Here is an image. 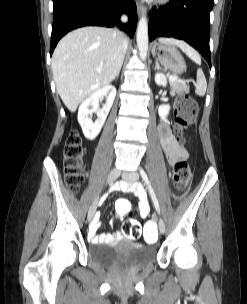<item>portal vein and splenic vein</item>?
I'll return each mask as SVG.
<instances>
[{
    "mask_svg": "<svg viewBox=\"0 0 247 304\" xmlns=\"http://www.w3.org/2000/svg\"><path fill=\"white\" fill-rule=\"evenodd\" d=\"M169 80L170 81H175V80H177V77L176 76H171V77H169Z\"/></svg>",
    "mask_w": 247,
    "mask_h": 304,
    "instance_id": "1",
    "label": "portal vein and splenic vein"
}]
</instances>
